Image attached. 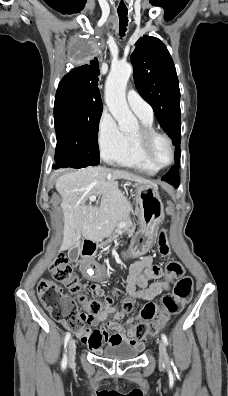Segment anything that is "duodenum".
<instances>
[{
    "label": "duodenum",
    "mask_w": 228,
    "mask_h": 396,
    "mask_svg": "<svg viewBox=\"0 0 228 396\" xmlns=\"http://www.w3.org/2000/svg\"><path fill=\"white\" fill-rule=\"evenodd\" d=\"M97 243L92 237H87L83 242V253L86 256H91L97 251Z\"/></svg>",
    "instance_id": "1"
}]
</instances>
